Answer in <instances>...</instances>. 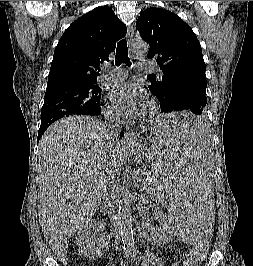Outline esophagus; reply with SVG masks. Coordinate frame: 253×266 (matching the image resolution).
<instances>
[{
	"label": "esophagus",
	"mask_w": 253,
	"mask_h": 266,
	"mask_svg": "<svg viewBox=\"0 0 253 266\" xmlns=\"http://www.w3.org/2000/svg\"><path fill=\"white\" fill-rule=\"evenodd\" d=\"M127 41L129 43V45L131 44L132 40H133V36H134V28L132 25H129L128 26V29H127ZM136 139V136L134 134V132L132 131H128L125 133V136H124V143L126 144H131L135 141Z\"/></svg>",
	"instance_id": "34e87169"
}]
</instances>
